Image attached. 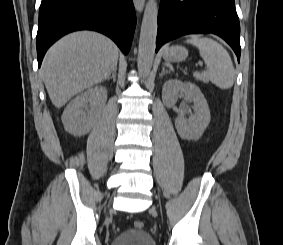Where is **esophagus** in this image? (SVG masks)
I'll return each instance as SVG.
<instances>
[{"instance_id": "1", "label": "esophagus", "mask_w": 283, "mask_h": 245, "mask_svg": "<svg viewBox=\"0 0 283 245\" xmlns=\"http://www.w3.org/2000/svg\"><path fill=\"white\" fill-rule=\"evenodd\" d=\"M133 3H134V6H135V9L138 12H141L144 8L145 0H133Z\"/></svg>"}]
</instances>
